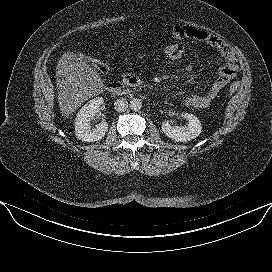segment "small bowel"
Here are the masks:
<instances>
[{
    "label": "small bowel",
    "mask_w": 272,
    "mask_h": 272,
    "mask_svg": "<svg viewBox=\"0 0 272 272\" xmlns=\"http://www.w3.org/2000/svg\"><path fill=\"white\" fill-rule=\"evenodd\" d=\"M172 36L175 40L189 38L201 41L213 48L219 56L218 77L211 84L208 91L204 94H191L183 101L186 107L205 109L234 78L239 70V62L234 52L225 42L204 29L191 25H176L172 29Z\"/></svg>",
    "instance_id": "obj_1"
}]
</instances>
